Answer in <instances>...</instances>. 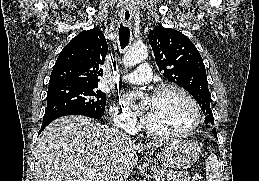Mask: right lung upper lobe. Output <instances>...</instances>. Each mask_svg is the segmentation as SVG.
Masks as SVG:
<instances>
[{
    "label": "right lung upper lobe",
    "instance_id": "1",
    "mask_svg": "<svg viewBox=\"0 0 259 181\" xmlns=\"http://www.w3.org/2000/svg\"><path fill=\"white\" fill-rule=\"evenodd\" d=\"M107 52L108 45L99 28L79 33L60 52L49 86L66 83L98 86Z\"/></svg>",
    "mask_w": 259,
    "mask_h": 181
}]
</instances>
